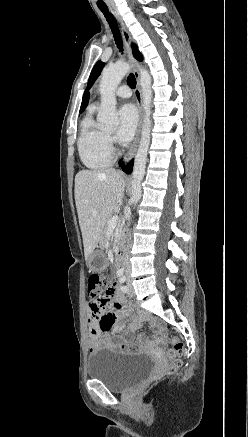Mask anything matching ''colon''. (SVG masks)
<instances>
[{
    "label": "colon",
    "mask_w": 248,
    "mask_h": 437,
    "mask_svg": "<svg viewBox=\"0 0 248 437\" xmlns=\"http://www.w3.org/2000/svg\"><path fill=\"white\" fill-rule=\"evenodd\" d=\"M109 277L105 274H92L88 278V294L91 297H102V294L109 290ZM171 347L167 350V358L169 364L166 368L167 374L175 373L181 366V355L184 352V344L177 338L173 337L170 340Z\"/></svg>",
    "instance_id": "obj_1"
}]
</instances>
